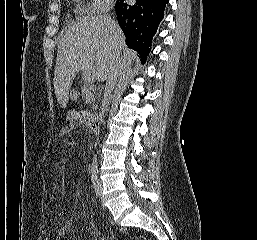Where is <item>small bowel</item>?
I'll return each instance as SVG.
<instances>
[{
    "label": "small bowel",
    "instance_id": "small-bowel-1",
    "mask_svg": "<svg viewBox=\"0 0 257 240\" xmlns=\"http://www.w3.org/2000/svg\"><path fill=\"white\" fill-rule=\"evenodd\" d=\"M71 226H72V221L70 219H63L61 227L58 230V234L60 236L65 235L70 230Z\"/></svg>",
    "mask_w": 257,
    "mask_h": 240
}]
</instances>
